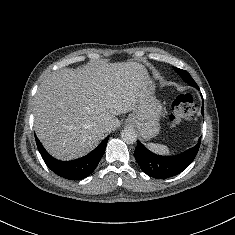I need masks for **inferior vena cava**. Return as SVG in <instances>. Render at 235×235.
<instances>
[{"instance_id":"1","label":"inferior vena cava","mask_w":235,"mask_h":235,"mask_svg":"<svg viewBox=\"0 0 235 235\" xmlns=\"http://www.w3.org/2000/svg\"><path fill=\"white\" fill-rule=\"evenodd\" d=\"M103 129H105L107 127V124L106 123H103L102 126H101Z\"/></svg>"}]
</instances>
